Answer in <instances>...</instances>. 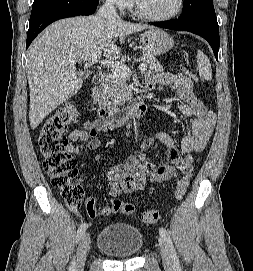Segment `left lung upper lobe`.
<instances>
[{
    "instance_id": "obj_1",
    "label": "left lung upper lobe",
    "mask_w": 253,
    "mask_h": 271,
    "mask_svg": "<svg viewBox=\"0 0 253 271\" xmlns=\"http://www.w3.org/2000/svg\"><path fill=\"white\" fill-rule=\"evenodd\" d=\"M211 9H214L213 0H184L183 13L180 19L189 21L206 14Z\"/></svg>"
}]
</instances>
